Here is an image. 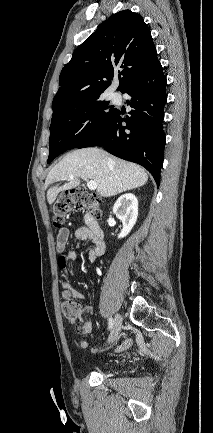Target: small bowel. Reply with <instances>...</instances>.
I'll return each mask as SVG.
<instances>
[{"label": "small bowel", "mask_w": 213, "mask_h": 433, "mask_svg": "<svg viewBox=\"0 0 213 433\" xmlns=\"http://www.w3.org/2000/svg\"><path fill=\"white\" fill-rule=\"evenodd\" d=\"M69 235L70 232L68 230V228H61L56 236V250L58 253H63L66 247V244L68 242L69 239ZM75 238L82 242V243H86V242H90L92 245V248L88 251V259L90 262H94L96 260L97 257L101 256L104 253L105 250V244L104 242H99L97 241L90 228L89 227H85V226H81L79 228H77L74 232ZM65 259V262H75L77 260V253L74 250H71L69 252H67L64 256H62ZM61 269V276H62V280H61V287L63 290H69L71 289L70 284L67 280L68 277V270L65 266H60ZM76 297L81 298V294L76 293L75 292ZM87 311L83 310L81 311V315L80 317L83 319L81 325L78 328L79 333L81 334H89L92 332L93 330V325L92 323L85 319V314ZM131 339H126L123 341V343L121 345H119L116 348V351H123L125 349H127L130 345H131ZM79 347L81 349H87L88 348V342L85 340H80L79 341ZM93 352H96V349H92Z\"/></svg>", "instance_id": "small-bowel-1"}]
</instances>
